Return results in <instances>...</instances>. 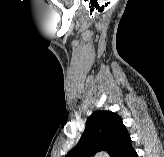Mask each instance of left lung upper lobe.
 Wrapping results in <instances>:
<instances>
[{
    "instance_id": "obj_1",
    "label": "left lung upper lobe",
    "mask_w": 164,
    "mask_h": 157,
    "mask_svg": "<svg viewBox=\"0 0 164 157\" xmlns=\"http://www.w3.org/2000/svg\"><path fill=\"white\" fill-rule=\"evenodd\" d=\"M128 138L120 116L111 111H95L88 118L78 144L65 157H88L102 150L112 156Z\"/></svg>"
}]
</instances>
